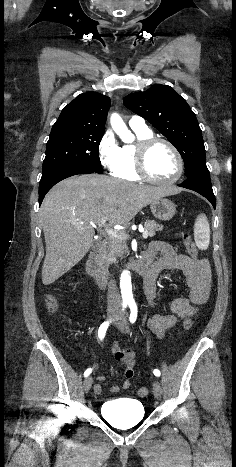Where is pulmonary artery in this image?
<instances>
[{
	"label": "pulmonary artery",
	"instance_id": "e3ab8cb5",
	"mask_svg": "<svg viewBox=\"0 0 236 467\" xmlns=\"http://www.w3.org/2000/svg\"><path fill=\"white\" fill-rule=\"evenodd\" d=\"M129 125L131 128H139V129H146L148 128L145 120L137 115H134L129 120Z\"/></svg>",
	"mask_w": 236,
	"mask_h": 467
}]
</instances>
